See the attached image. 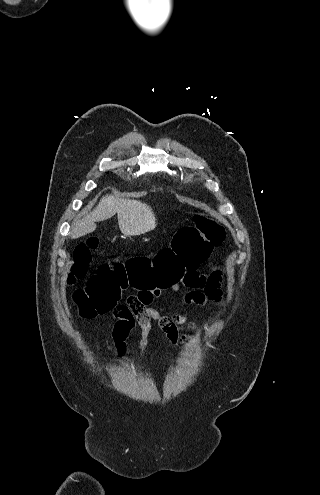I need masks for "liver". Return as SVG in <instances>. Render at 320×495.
Returning a JSON list of instances; mask_svg holds the SVG:
<instances>
[{"label":"liver","mask_w":320,"mask_h":495,"mask_svg":"<svg viewBox=\"0 0 320 495\" xmlns=\"http://www.w3.org/2000/svg\"><path fill=\"white\" fill-rule=\"evenodd\" d=\"M117 213L120 231L126 236H137L153 230L156 226L151 207L137 200L105 195L97 207L72 225V238L77 239L96 230V222L110 219Z\"/></svg>","instance_id":"1"}]
</instances>
